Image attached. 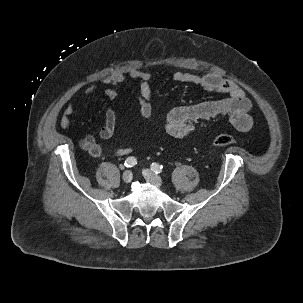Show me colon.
<instances>
[{"label":"colon","instance_id":"colon-1","mask_svg":"<svg viewBox=\"0 0 303 303\" xmlns=\"http://www.w3.org/2000/svg\"><path fill=\"white\" fill-rule=\"evenodd\" d=\"M236 140L227 134H217L212 139V144L215 146H228L235 144Z\"/></svg>","mask_w":303,"mask_h":303}]
</instances>
